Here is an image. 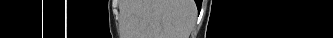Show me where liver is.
<instances>
[{
  "mask_svg": "<svg viewBox=\"0 0 333 38\" xmlns=\"http://www.w3.org/2000/svg\"><path fill=\"white\" fill-rule=\"evenodd\" d=\"M137 38H188L194 20L193 0H137Z\"/></svg>",
  "mask_w": 333,
  "mask_h": 38,
  "instance_id": "1",
  "label": "liver"
}]
</instances>
